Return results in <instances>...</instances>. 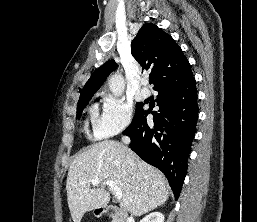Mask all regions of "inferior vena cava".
<instances>
[{
	"mask_svg": "<svg viewBox=\"0 0 257 222\" xmlns=\"http://www.w3.org/2000/svg\"><path fill=\"white\" fill-rule=\"evenodd\" d=\"M122 142H123L124 144H129V143H130V138L127 137V136H124V137H122Z\"/></svg>",
	"mask_w": 257,
	"mask_h": 222,
	"instance_id": "1",
	"label": "inferior vena cava"
}]
</instances>
